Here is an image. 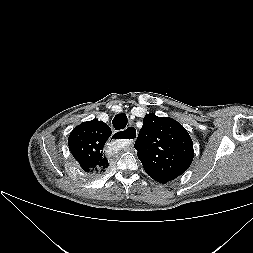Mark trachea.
<instances>
[{
    "mask_svg": "<svg viewBox=\"0 0 253 253\" xmlns=\"http://www.w3.org/2000/svg\"><path fill=\"white\" fill-rule=\"evenodd\" d=\"M127 116L126 114L124 113H121V114H117L113 121H112V124H113V127L115 130H120V129H124L127 125Z\"/></svg>",
    "mask_w": 253,
    "mask_h": 253,
    "instance_id": "3493384b",
    "label": "trachea"
}]
</instances>
